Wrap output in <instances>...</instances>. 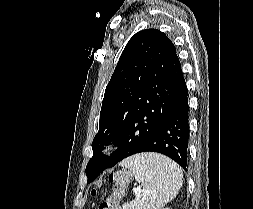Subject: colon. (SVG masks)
<instances>
[{
  "mask_svg": "<svg viewBox=\"0 0 253 209\" xmlns=\"http://www.w3.org/2000/svg\"><path fill=\"white\" fill-rule=\"evenodd\" d=\"M110 179L114 182L112 194L107 200L99 204L98 209H119L118 202L124 195L131 175L127 171H120L111 174ZM92 195H96V189H92Z\"/></svg>",
  "mask_w": 253,
  "mask_h": 209,
  "instance_id": "5ec220e1",
  "label": "colon"
}]
</instances>
